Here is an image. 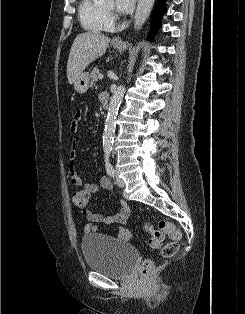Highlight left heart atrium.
I'll list each match as a JSON object with an SVG mask.
<instances>
[{
  "instance_id": "39dd6f15",
  "label": "left heart atrium",
  "mask_w": 245,
  "mask_h": 314,
  "mask_svg": "<svg viewBox=\"0 0 245 314\" xmlns=\"http://www.w3.org/2000/svg\"><path fill=\"white\" fill-rule=\"evenodd\" d=\"M136 0H116V9L121 13L132 11Z\"/></svg>"
}]
</instances>
